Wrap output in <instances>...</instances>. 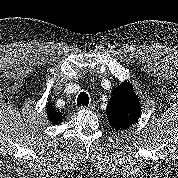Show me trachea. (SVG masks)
<instances>
[{
    "mask_svg": "<svg viewBox=\"0 0 178 178\" xmlns=\"http://www.w3.org/2000/svg\"><path fill=\"white\" fill-rule=\"evenodd\" d=\"M88 104H89V96H88V94L85 93V92H81L78 95V98H77V105L78 106H81V105L87 106Z\"/></svg>",
    "mask_w": 178,
    "mask_h": 178,
    "instance_id": "trachea-1",
    "label": "trachea"
}]
</instances>
